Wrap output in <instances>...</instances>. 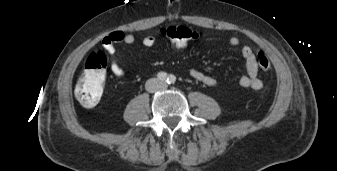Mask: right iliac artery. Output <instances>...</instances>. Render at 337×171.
Listing matches in <instances>:
<instances>
[{
	"mask_svg": "<svg viewBox=\"0 0 337 171\" xmlns=\"http://www.w3.org/2000/svg\"><path fill=\"white\" fill-rule=\"evenodd\" d=\"M157 78H158L159 80H161V81H167L168 75H167V73H165V72H159V73L157 74Z\"/></svg>",
	"mask_w": 337,
	"mask_h": 171,
	"instance_id": "1",
	"label": "right iliac artery"
}]
</instances>
